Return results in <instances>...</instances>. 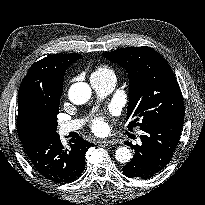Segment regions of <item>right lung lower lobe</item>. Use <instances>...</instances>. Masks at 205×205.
<instances>
[{
    "label": "right lung lower lobe",
    "instance_id": "obj_1",
    "mask_svg": "<svg viewBox=\"0 0 205 205\" xmlns=\"http://www.w3.org/2000/svg\"><path fill=\"white\" fill-rule=\"evenodd\" d=\"M33 167L45 178L66 183L80 177L85 169V154L93 144L82 138L65 148L59 134L37 136L22 142Z\"/></svg>",
    "mask_w": 205,
    "mask_h": 205
}]
</instances>
